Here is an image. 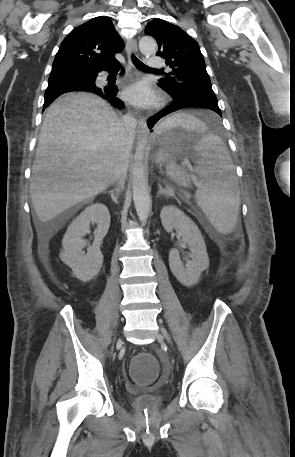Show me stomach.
<instances>
[{
  "instance_id": "0dacf381",
  "label": "stomach",
  "mask_w": 295,
  "mask_h": 457,
  "mask_svg": "<svg viewBox=\"0 0 295 457\" xmlns=\"http://www.w3.org/2000/svg\"><path fill=\"white\" fill-rule=\"evenodd\" d=\"M207 134V130L201 132L198 129H188L184 126H175L164 130L157 129L154 139H156L160 149L154 156V162L159 165L174 163L179 150L195 147Z\"/></svg>"
}]
</instances>
